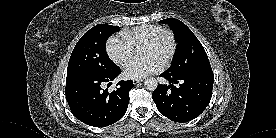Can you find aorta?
Segmentation results:
<instances>
[{
    "label": "aorta",
    "instance_id": "obj_1",
    "mask_svg": "<svg viewBox=\"0 0 276 138\" xmlns=\"http://www.w3.org/2000/svg\"><path fill=\"white\" fill-rule=\"evenodd\" d=\"M157 80L153 77L147 78L144 81V86L147 90L154 91L157 88Z\"/></svg>",
    "mask_w": 276,
    "mask_h": 138
}]
</instances>
